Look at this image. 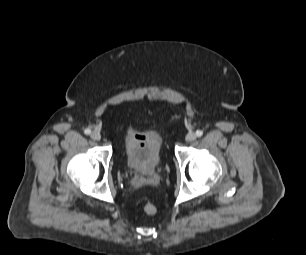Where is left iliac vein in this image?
Segmentation results:
<instances>
[{"label": "left iliac vein", "mask_w": 306, "mask_h": 255, "mask_svg": "<svg viewBox=\"0 0 306 255\" xmlns=\"http://www.w3.org/2000/svg\"><path fill=\"white\" fill-rule=\"evenodd\" d=\"M195 139H196V135H195L194 132H189V133L186 135V137H185V140H186L187 142H192V141H194Z\"/></svg>", "instance_id": "obj_1"}]
</instances>
